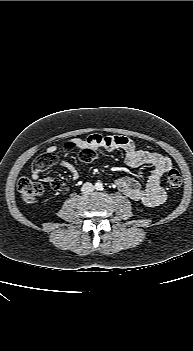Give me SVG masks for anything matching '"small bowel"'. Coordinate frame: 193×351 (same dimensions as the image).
<instances>
[{"label":"small bowel","mask_w":193,"mask_h":351,"mask_svg":"<svg viewBox=\"0 0 193 351\" xmlns=\"http://www.w3.org/2000/svg\"><path fill=\"white\" fill-rule=\"evenodd\" d=\"M87 147L94 151H100L102 149L107 151L121 149L125 152V162L128 166L151 167L152 171L144 188L140 186L137 180L131 177L118 179L116 181V186L125 196L147 207H154L165 201L166 193L162 187V180L165 173L171 168L172 161L169 157L160 153L139 149L133 140L126 136H102L96 134L87 139L74 138L61 141L58 146L50 145L46 151L56 152L58 150L61 154L68 155L71 153H78L81 149ZM61 165L69 171L72 180L76 181L79 179V173L72 163L66 159H62ZM31 176L33 179H39L41 173L32 169ZM44 180L51 185L54 179L45 177Z\"/></svg>","instance_id":"c3829d8e"}]
</instances>
